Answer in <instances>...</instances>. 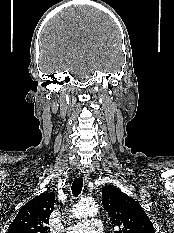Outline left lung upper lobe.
<instances>
[{"label":"left lung upper lobe","instance_id":"1","mask_svg":"<svg viewBox=\"0 0 174 233\" xmlns=\"http://www.w3.org/2000/svg\"><path fill=\"white\" fill-rule=\"evenodd\" d=\"M102 205L117 233H155L154 227L140 204L118 188H102Z\"/></svg>","mask_w":174,"mask_h":233}]
</instances>
